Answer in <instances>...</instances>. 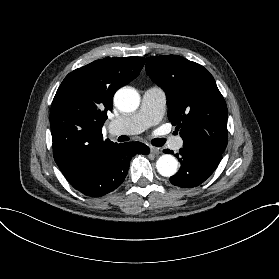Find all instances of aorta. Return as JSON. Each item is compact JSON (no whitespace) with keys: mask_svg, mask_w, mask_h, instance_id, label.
<instances>
[{"mask_svg":"<svg viewBox=\"0 0 279 279\" xmlns=\"http://www.w3.org/2000/svg\"><path fill=\"white\" fill-rule=\"evenodd\" d=\"M115 106L124 112H131L138 108L140 96L133 88H121L114 95ZM156 168L164 177L173 176L178 169V161L170 154L160 156L156 162Z\"/></svg>","mask_w":279,"mask_h":279,"instance_id":"obj_1","label":"aorta"}]
</instances>
